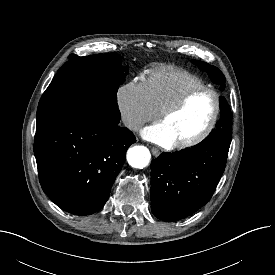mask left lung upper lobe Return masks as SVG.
Returning a JSON list of instances; mask_svg holds the SVG:
<instances>
[{
    "label": "left lung upper lobe",
    "instance_id": "obj_1",
    "mask_svg": "<svg viewBox=\"0 0 275 275\" xmlns=\"http://www.w3.org/2000/svg\"><path fill=\"white\" fill-rule=\"evenodd\" d=\"M195 65L203 70L207 71L213 82L221 85V90L225 88V77L222 72L215 66L209 65L203 61L192 60ZM221 116L215 129L210 134L215 133H227L232 135V113L226 99L220 97Z\"/></svg>",
    "mask_w": 275,
    "mask_h": 275
}]
</instances>
